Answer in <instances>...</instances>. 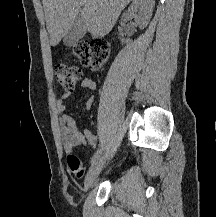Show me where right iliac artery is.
Listing matches in <instances>:
<instances>
[{
  "label": "right iliac artery",
  "instance_id": "obj_1",
  "mask_svg": "<svg viewBox=\"0 0 216 217\" xmlns=\"http://www.w3.org/2000/svg\"><path fill=\"white\" fill-rule=\"evenodd\" d=\"M101 153H102V149L100 148V149H98L96 151V153L91 158V164H94L98 160V158L100 157Z\"/></svg>",
  "mask_w": 216,
  "mask_h": 217
}]
</instances>
